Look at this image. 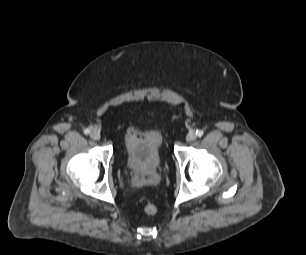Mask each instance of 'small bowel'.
Masks as SVG:
<instances>
[{
    "label": "small bowel",
    "instance_id": "c3829d8e",
    "mask_svg": "<svg viewBox=\"0 0 306 255\" xmlns=\"http://www.w3.org/2000/svg\"><path fill=\"white\" fill-rule=\"evenodd\" d=\"M127 134L131 137H138L140 136V130L136 127H132L128 130Z\"/></svg>",
    "mask_w": 306,
    "mask_h": 255
}]
</instances>
